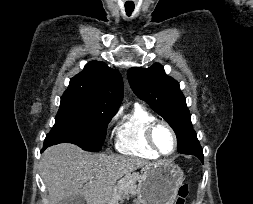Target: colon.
<instances>
[{"instance_id": "colon-1", "label": "colon", "mask_w": 253, "mask_h": 204, "mask_svg": "<svg viewBox=\"0 0 253 204\" xmlns=\"http://www.w3.org/2000/svg\"><path fill=\"white\" fill-rule=\"evenodd\" d=\"M190 188L187 184H183L179 190L174 204H186V200L189 196Z\"/></svg>"}]
</instances>
